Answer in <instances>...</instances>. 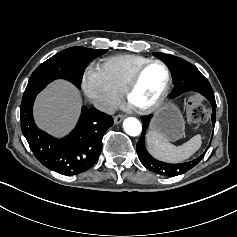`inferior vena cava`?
Returning a JSON list of instances; mask_svg holds the SVG:
<instances>
[{"instance_id":"inferior-vena-cava-1","label":"inferior vena cava","mask_w":237,"mask_h":237,"mask_svg":"<svg viewBox=\"0 0 237 237\" xmlns=\"http://www.w3.org/2000/svg\"><path fill=\"white\" fill-rule=\"evenodd\" d=\"M93 104L95 108H97L98 110L103 111L110 115H113L120 107L118 104H113L104 99H95L93 101Z\"/></svg>"}]
</instances>
